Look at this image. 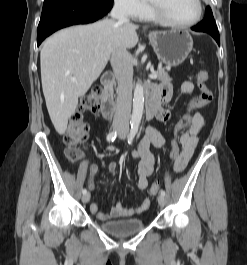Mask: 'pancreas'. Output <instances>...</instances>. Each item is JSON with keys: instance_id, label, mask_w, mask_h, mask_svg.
<instances>
[{"instance_id": "1", "label": "pancreas", "mask_w": 247, "mask_h": 265, "mask_svg": "<svg viewBox=\"0 0 247 265\" xmlns=\"http://www.w3.org/2000/svg\"><path fill=\"white\" fill-rule=\"evenodd\" d=\"M155 73L157 74V79L160 81H171L172 80L169 77L168 72L165 70V68L160 67Z\"/></svg>"}]
</instances>
